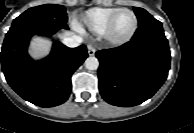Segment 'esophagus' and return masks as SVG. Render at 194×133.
<instances>
[{
	"mask_svg": "<svg viewBox=\"0 0 194 133\" xmlns=\"http://www.w3.org/2000/svg\"><path fill=\"white\" fill-rule=\"evenodd\" d=\"M89 56H93L95 54V48L91 45L87 46Z\"/></svg>",
	"mask_w": 194,
	"mask_h": 133,
	"instance_id": "obj_1",
	"label": "esophagus"
}]
</instances>
